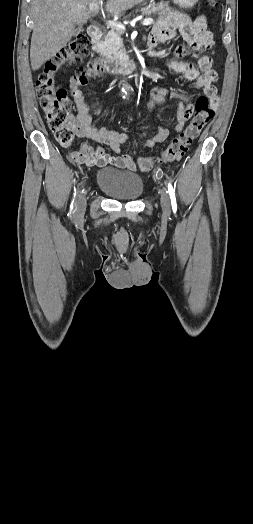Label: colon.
<instances>
[{
	"label": "colon",
	"instance_id": "obj_1",
	"mask_svg": "<svg viewBox=\"0 0 253 524\" xmlns=\"http://www.w3.org/2000/svg\"><path fill=\"white\" fill-rule=\"evenodd\" d=\"M215 6L217 0H209ZM90 57L89 39L86 35H79L73 39L59 54L48 61L36 79V91L45 113L47 124L53 132L56 141L61 147L72 146L75 138L77 123L72 115L70 94L75 97L81 95L82 90L96 86L99 79L104 77V70L96 60H89L86 67L76 69L74 75L68 79V91L56 85L54 77L69 64L84 61ZM195 113L188 126L175 137L170 145L157 159L141 158L140 169L148 171L157 164H169L181 158L188 150L193 140L200 134L206 124L214 116L208 98L201 96L195 103Z\"/></svg>",
	"mask_w": 253,
	"mask_h": 524
}]
</instances>
